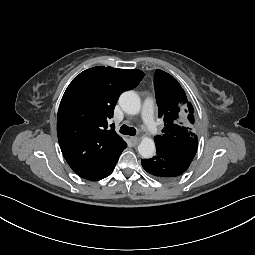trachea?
<instances>
[{"label": "trachea", "instance_id": "1", "mask_svg": "<svg viewBox=\"0 0 255 255\" xmlns=\"http://www.w3.org/2000/svg\"><path fill=\"white\" fill-rule=\"evenodd\" d=\"M120 133L124 135L134 136L136 134V129L127 125H122L120 128Z\"/></svg>", "mask_w": 255, "mask_h": 255}]
</instances>
